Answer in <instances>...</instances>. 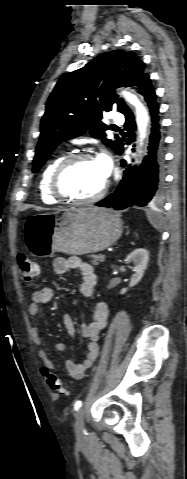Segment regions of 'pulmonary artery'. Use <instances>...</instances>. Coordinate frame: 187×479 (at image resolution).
<instances>
[{"label":"pulmonary artery","mask_w":187,"mask_h":479,"mask_svg":"<svg viewBox=\"0 0 187 479\" xmlns=\"http://www.w3.org/2000/svg\"><path fill=\"white\" fill-rule=\"evenodd\" d=\"M112 122L116 125H122L124 122V116L120 113H115L112 117Z\"/></svg>","instance_id":"e3ab8cb5"}]
</instances>
